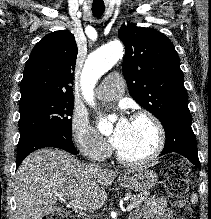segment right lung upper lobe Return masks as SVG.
<instances>
[{
	"instance_id": "cb5924a9",
	"label": "right lung upper lobe",
	"mask_w": 211,
	"mask_h": 219,
	"mask_svg": "<svg viewBox=\"0 0 211 219\" xmlns=\"http://www.w3.org/2000/svg\"><path fill=\"white\" fill-rule=\"evenodd\" d=\"M77 58L74 35L66 30L47 34L33 48L20 84L21 99H73V71Z\"/></svg>"
}]
</instances>
